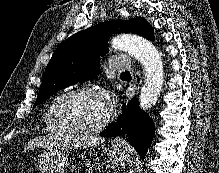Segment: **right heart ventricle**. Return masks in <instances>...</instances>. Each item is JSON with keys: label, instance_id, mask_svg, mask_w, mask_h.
I'll return each mask as SVG.
<instances>
[{"label": "right heart ventricle", "instance_id": "right-heart-ventricle-1", "mask_svg": "<svg viewBox=\"0 0 219 173\" xmlns=\"http://www.w3.org/2000/svg\"><path fill=\"white\" fill-rule=\"evenodd\" d=\"M64 95V93H60L56 96H54L50 102L48 103L44 114H43V120H44V132L50 135H57V136H64L67 135V132H65L62 127L59 125L56 117V108L59 100Z\"/></svg>", "mask_w": 219, "mask_h": 173}]
</instances>
